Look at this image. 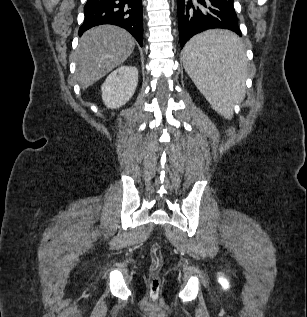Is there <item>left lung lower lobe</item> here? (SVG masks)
I'll return each mask as SVG.
<instances>
[{
    "label": "left lung lower lobe",
    "instance_id": "0a47b994",
    "mask_svg": "<svg viewBox=\"0 0 307 317\" xmlns=\"http://www.w3.org/2000/svg\"><path fill=\"white\" fill-rule=\"evenodd\" d=\"M196 2L202 10L195 6ZM233 3L234 0H177L181 49L192 36L208 29H228L241 37ZM239 53V44L231 43L220 50V57L225 61Z\"/></svg>",
    "mask_w": 307,
    "mask_h": 317
}]
</instances>
